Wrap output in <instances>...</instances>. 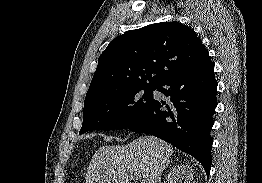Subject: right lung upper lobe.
Masks as SVG:
<instances>
[{
	"label": "right lung upper lobe",
	"instance_id": "1",
	"mask_svg": "<svg viewBox=\"0 0 262 183\" xmlns=\"http://www.w3.org/2000/svg\"><path fill=\"white\" fill-rule=\"evenodd\" d=\"M209 61L200 38L179 22L129 30L113 39L100 55L85 102L131 88H156Z\"/></svg>",
	"mask_w": 262,
	"mask_h": 183
}]
</instances>
